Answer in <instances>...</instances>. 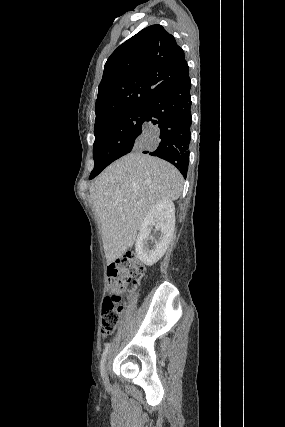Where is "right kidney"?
<instances>
[{"label": "right kidney", "mask_w": 285, "mask_h": 427, "mask_svg": "<svg viewBox=\"0 0 285 427\" xmlns=\"http://www.w3.org/2000/svg\"><path fill=\"white\" fill-rule=\"evenodd\" d=\"M161 232L158 240L149 249L147 241L150 239L152 228ZM175 227V206L171 200H162L148 212L141 223L136 239L135 250L137 257L147 266H152L165 254L172 241Z\"/></svg>", "instance_id": "ca27d5eb"}]
</instances>
